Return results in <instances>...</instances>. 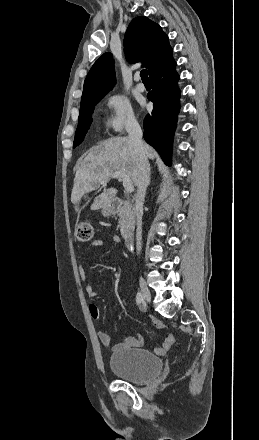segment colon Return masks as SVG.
I'll list each match as a JSON object with an SVG mask.
<instances>
[{
    "label": "colon",
    "mask_w": 259,
    "mask_h": 440,
    "mask_svg": "<svg viewBox=\"0 0 259 440\" xmlns=\"http://www.w3.org/2000/svg\"><path fill=\"white\" fill-rule=\"evenodd\" d=\"M76 236L81 242H89L94 237V228L93 225L88 221H81L78 223L76 228ZM172 339V343L176 341V337L174 335H169Z\"/></svg>",
    "instance_id": "colon-1"
}]
</instances>
